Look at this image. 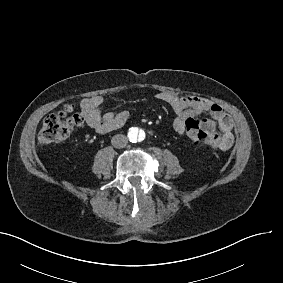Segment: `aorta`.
Returning <instances> with one entry per match:
<instances>
[{
  "label": "aorta",
  "mask_w": 283,
  "mask_h": 283,
  "mask_svg": "<svg viewBox=\"0 0 283 283\" xmlns=\"http://www.w3.org/2000/svg\"><path fill=\"white\" fill-rule=\"evenodd\" d=\"M128 137L130 142L137 143V142H142L145 139L146 134L144 130L138 127H132L128 132Z\"/></svg>",
  "instance_id": "aorta-1"
}]
</instances>
